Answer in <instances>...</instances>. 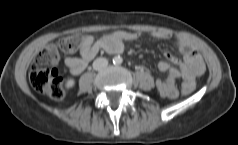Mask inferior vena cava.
<instances>
[{
  "mask_svg": "<svg viewBox=\"0 0 238 145\" xmlns=\"http://www.w3.org/2000/svg\"><path fill=\"white\" fill-rule=\"evenodd\" d=\"M107 66H108V60L103 57H99L95 59L93 62V69L97 71L103 70Z\"/></svg>",
  "mask_w": 238,
  "mask_h": 145,
  "instance_id": "obj_1",
  "label": "inferior vena cava"
}]
</instances>
